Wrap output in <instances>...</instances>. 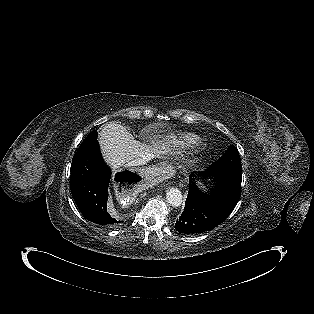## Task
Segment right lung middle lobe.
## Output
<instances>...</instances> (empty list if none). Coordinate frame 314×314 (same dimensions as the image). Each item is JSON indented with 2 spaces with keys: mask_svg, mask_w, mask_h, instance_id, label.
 <instances>
[{
  "mask_svg": "<svg viewBox=\"0 0 314 314\" xmlns=\"http://www.w3.org/2000/svg\"><path fill=\"white\" fill-rule=\"evenodd\" d=\"M97 131L93 130L86 138L85 140L82 142V144L80 145V147L78 148L77 151H81L85 148L90 147L92 144H94L97 141Z\"/></svg>",
  "mask_w": 314,
  "mask_h": 314,
  "instance_id": "dd1d6c3e",
  "label": "right lung middle lobe"
}]
</instances>
